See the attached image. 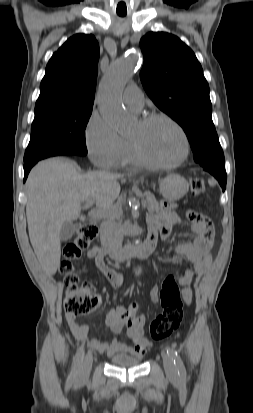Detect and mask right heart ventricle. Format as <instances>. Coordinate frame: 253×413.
Instances as JSON below:
<instances>
[{
  "instance_id": "e07e8e85",
  "label": "right heart ventricle",
  "mask_w": 253,
  "mask_h": 413,
  "mask_svg": "<svg viewBox=\"0 0 253 413\" xmlns=\"http://www.w3.org/2000/svg\"><path fill=\"white\" fill-rule=\"evenodd\" d=\"M125 146L121 158L117 165L121 166H141L142 163L137 158L130 140L124 139Z\"/></svg>"
}]
</instances>
